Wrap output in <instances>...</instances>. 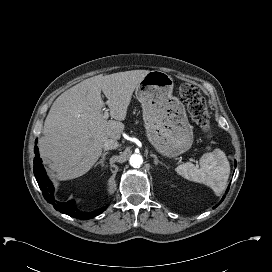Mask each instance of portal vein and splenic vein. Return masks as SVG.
Wrapping results in <instances>:
<instances>
[{"label": "portal vein and splenic vein", "mask_w": 272, "mask_h": 272, "mask_svg": "<svg viewBox=\"0 0 272 272\" xmlns=\"http://www.w3.org/2000/svg\"><path fill=\"white\" fill-rule=\"evenodd\" d=\"M108 117H109V113H108V110L106 109V110L104 111L103 118H104V119H107Z\"/></svg>", "instance_id": "portal-vein-and-splenic-vein-1"}]
</instances>
